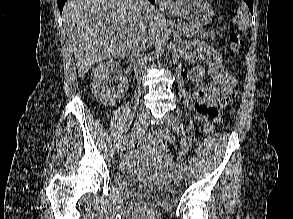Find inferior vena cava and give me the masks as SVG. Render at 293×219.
<instances>
[{
	"instance_id": "602c4592",
	"label": "inferior vena cava",
	"mask_w": 293,
	"mask_h": 219,
	"mask_svg": "<svg viewBox=\"0 0 293 219\" xmlns=\"http://www.w3.org/2000/svg\"><path fill=\"white\" fill-rule=\"evenodd\" d=\"M138 10L134 18V41H133V53H134V66L137 72L145 71L147 60L143 56L142 51L145 49L146 43V22L142 16L140 9L148 7L147 0H137Z\"/></svg>"
}]
</instances>
